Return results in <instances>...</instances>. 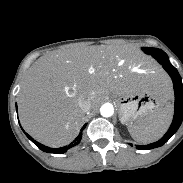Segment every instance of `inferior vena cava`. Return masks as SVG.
Listing matches in <instances>:
<instances>
[{"instance_id": "inferior-vena-cava-1", "label": "inferior vena cava", "mask_w": 183, "mask_h": 183, "mask_svg": "<svg viewBox=\"0 0 183 183\" xmlns=\"http://www.w3.org/2000/svg\"><path fill=\"white\" fill-rule=\"evenodd\" d=\"M79 107L84 111L87 112L91 108V100L80 98L78 101Z\"/></svg>"}]
</instances>
